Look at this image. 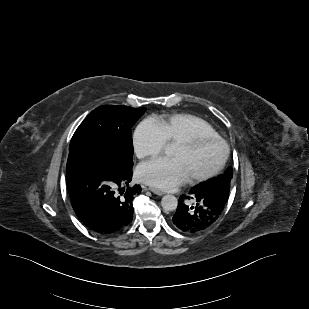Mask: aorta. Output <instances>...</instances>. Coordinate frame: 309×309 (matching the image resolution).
Masks as SVG:
<instances>
[{
  "label": "aorta",
  "instance_id": "1",
  "mask_svg": "<svg viewBox=\"0 0 309 309\" xmlns=\"http://www.w3.org/2000/svg\"><path fill=\"white\" fill-rule=\"evenodd\" d=\"M161 205L166 211H174L177 208L178 200L174 195H165L161 200Z\"/></svg>",
  "mask_w": 309,
  "mask_h": 309
}]
</instances>
